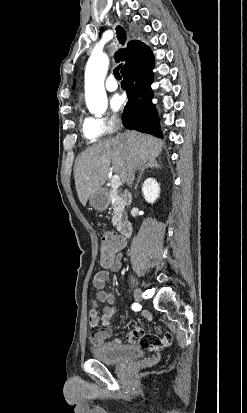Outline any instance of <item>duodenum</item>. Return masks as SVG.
<instances>
[{"instance_id":"duodenum-1","label":"duodenum","mask_w":247,"mask_h":413,"mask_svg":"<svg viewBox=\"0 0 247 413\" xmlns=\"http://www.w3.org/2000/svg\"><path fill=\"white\" fill-rule=\"evenodd\" d=\"M121 196L125 205H128L131 202V194L129 192L123 191ZM118 230L123 237L129 238L133 232L132 224L128 220L120 221L118 224Z\"/></svg>"}]
</instances>
